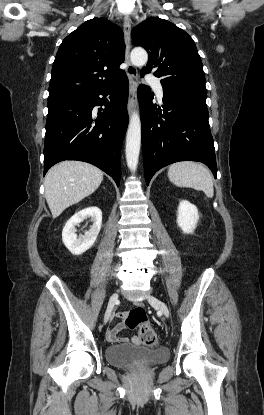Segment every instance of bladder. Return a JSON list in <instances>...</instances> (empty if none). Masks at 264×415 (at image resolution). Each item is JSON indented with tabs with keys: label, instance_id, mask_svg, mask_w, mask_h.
I'll list each match as a JSON object with an SVG mask.
<instances>
[{
	"label": "bladder",
	"instance_id": "obj_1",
	"mask_svg": "<svg viewBox=\"0 0 264 415\" xmlns=\"http://www.w3.org/2000/svg\"><path fill=\"white\" fill-rule=\"evenodd\" d=\"M106 361L116 367L131 368L135 365H157L169 359L165 347H141L134 344L114 345L105 348Z\"/></svg>",
	"mask_w": 264,
	"mask_h": 415
}]
</instances>
